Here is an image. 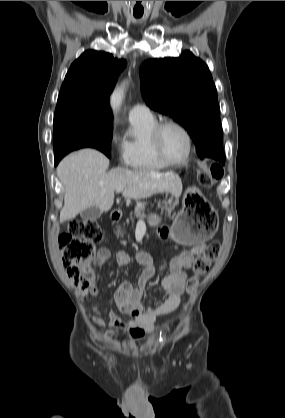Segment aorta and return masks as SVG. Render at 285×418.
Masks as SVG:
<instances>
[{"label":"aorta","instance_id":"obj_1","mask_svg":"<svg viewBox=\"0 0 285 418\" xmlns=\"http://www.w3.org/2000/svg\"><path fill=\"white\" fill-rule=\"evenodd\" d=\"M125 86H126V84L124 82L123 84H121L120 86H118L114 90V92L111 96V106L114 110L119 109V107L122 103V100H123V97H124V92H125Z\"/></svg>","mask_w":285,"mask_h":418}]
</instances>
